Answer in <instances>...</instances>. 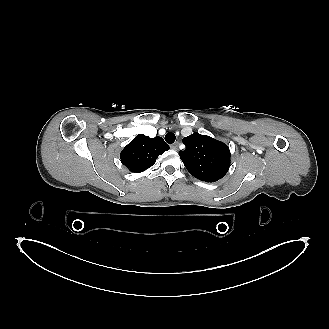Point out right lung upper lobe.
<instances>
[{"label":"right lung upper lobe","mask_w":329,"mask_h":329,"mask_svg":"<svg viewBox=\"0 0 329 329\" xmlns=\"http://www.w3.org/2000/svg\"><path fill=\"white\" fill-rule=\"evenodd\" d=\"M168 149L169 146L161 137L149 138L139 134L125 146L120 154V158L122 164L131 172L138 173L151 167L158 156Z\"/></svg>","instance_id":"1"}]
</instances>
